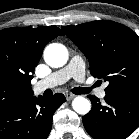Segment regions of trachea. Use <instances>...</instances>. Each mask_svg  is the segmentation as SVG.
I'll list each match as a JSON object with an SVG mask.
<instances>
[{
    "mask_svg": "<svg viewBox=\"0 0 139 139\" xmlns=\"http://www.w3.org/2000/svg\"><path fill=\"white\" fill-rule=\"evenodd\" d=\"M72 92L74 94H87L88 92H90V88H82V87H76L72 89Z\"/></svg>",
    "mask_w": 139,
    "mask_h": 139,
    "instance_id": "trachea-1",
    "label": "trachea"
}]
</instances>
